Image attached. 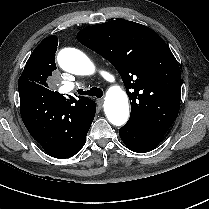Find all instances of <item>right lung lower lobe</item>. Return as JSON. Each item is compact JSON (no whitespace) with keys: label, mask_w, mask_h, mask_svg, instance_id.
<instances>
[{"label":"right lung lower lobe","mask_w":209,"mask_h":209,"mask_svg":"<svg viewBox=\"0 0 209 209\" xmlns=\"http://www.w3.org/2000/svg\"><path fill=\"white\" fill-rule=\"evenodd\" d=\"M19 95L22 120L46 153L64 159L73 156L84 146L87 134L74 139L69 129L53 125L63 107L52 96L44 97L33 90L19 91Z\"/></svg>","instance_id":"98d812e1"}]
</instances>
